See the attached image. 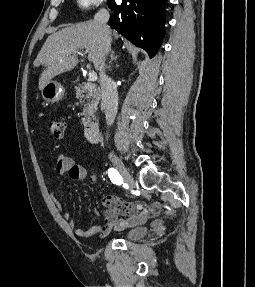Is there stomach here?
Masks as SVG:
<instances>
[{
	"label": "stomach",
	"instance_id": "1",
	"mask_svg": "<svg viewBox=\"0 0 255 287\" xmlns=\"http://www.w3.org/2000/svg\"><path fill=\"white\" fill-rule=\"evenodd\" d=\"M41 94L45 102H51V104H54V102L62 100L65 94V88H63L62 84H59V82H53V80H50V82L42 88Z\"/></svg>",
	"mask_w": 255,
	"mask_h": 287
}]
</instances>
